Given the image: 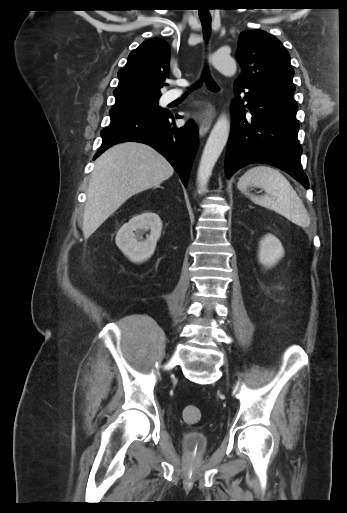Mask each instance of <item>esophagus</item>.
<instances>
[{
    "label": "esophagus",
    "instance_id": "34e87169",
    "mask_svg": "<svg viewBox=\"0 0 347 513\" xmlns=\"http://www.w3.org/2000/svg\"><path fill=\"white\" fill-rule=\"evenodd\" d=\"M215 114V106L208 103L199 115V135L204 136L210 129L213 116Z\"/></svg>",
    "mask_w": 347,
    "mask_h": 513
}]
</instances>
